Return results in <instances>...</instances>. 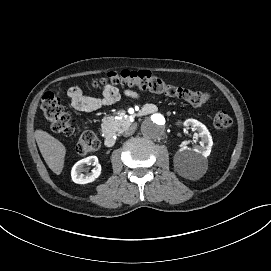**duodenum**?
Here are the masks:
<instances>
[{"instance_id": "duodenum-1", "label": "duodenum", "mask_w": 271, "mask_h": 271, "mask_svg": "<svg viewBox=\"0 0 271 271\" xmlns=\"http://www.w3.org/2000/svg\"><path fill=\"white\" fill-rule=\"evenodd\" d=\"M104 143L107 147H113L116 143V138L113 134H107L104 138Z\"/></svg>"}]
</instances>
